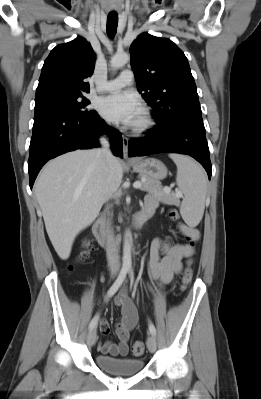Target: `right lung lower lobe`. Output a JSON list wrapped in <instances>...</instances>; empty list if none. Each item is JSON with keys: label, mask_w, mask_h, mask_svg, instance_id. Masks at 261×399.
Segmentation results:
<instances>
[{"label": "right lung lower lobe", "mask_w": 261, "mask_h": 399, "mask_svg": "<svg viewBox=\"0 0 261 399\" xmlns=\"http://www.w3.org/2000/svg\"><path fill=\"white\" fill-rule=\"evenodd\" d=\"M106 130L113 153L123 157L120 133L108 128L96 112L90 117H79L64 111L35 115L28 160L30 188L48 160L72 150L98 147V136Z\"/></svg>", "instance_id": "1"}]
</instances>
